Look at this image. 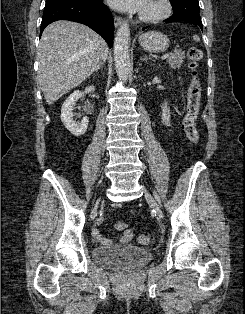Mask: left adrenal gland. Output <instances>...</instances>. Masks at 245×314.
Wrapping results in <instances>:
<instances>
[{"label":"left adrenal gland","instance_id":"a2214340","mask_svg":"<svg viewBox=\"0 0 245 314\" xmlns=\"http://www.w3.org/2000/svg\"><path fill=\"white\" fill-rule=\"evenodd\" d=\"M147 60H152L150 57L148 58L147 55H145L144 57H141V61H147Z\"/></svg>","mask_w":245,"mask_h":314}]
</instances>
